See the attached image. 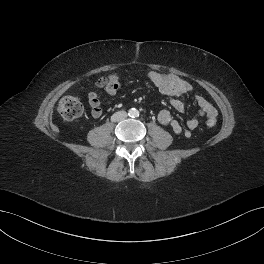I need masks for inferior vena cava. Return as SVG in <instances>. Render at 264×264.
<instances>
[{"label": "inferior vena cava", "instance_id": "602c4592", "mask_svg": "<svg viewBox=\"0 0 264 264\" xmlns=\"http://www.w3.org/2000/svg\"><path fill=\"white\" fill-rule=\"evenodd\" d=\"M127 117V113L125 111H118L114 113L111 117L113 122L124 120Z\"/></svg>", "mask_w": 264, "mask_h": 264}]
</instances>
